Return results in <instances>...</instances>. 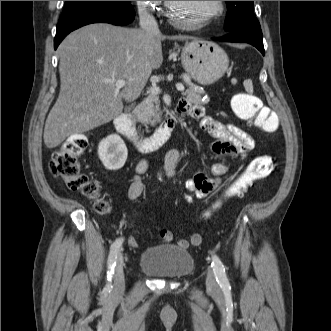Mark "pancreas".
<instances>
[{"mask_svg":"<svg viewBox=\"0 0 331 331\" xmlns=\"http://www.w3.org/2000/svg\"><path fill=\"white\" fill-rule=\"evenodd\" d=\"M184 78L188 77L186 74L183 75ZM190 88L186 90L185 95L188 100L197 104H206L209 99L202 100V95L204 94L200 90H195V85L191 82L187 83ZM162 112L160 110V101L157 94H149L145 100L139 104L134 110V116L139 122L146 124L155 125L161 120Z\"/></svg>","mask_w":331,"mask_h":331,"instance_id":"obj_1","label":"pancreas"}]
</instances>
